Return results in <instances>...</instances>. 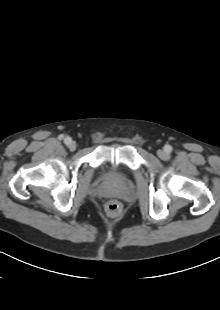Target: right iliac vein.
<instances>
[{
  "mask_svg": "<svg viewBox=\"0 0 220 310\" xmlns=\"http://www.w3.org/2000/svg\"><path fill=\"white\" fill-rule=\"evenodd\" d=\"M68 147L71 151H74L77 147V144L75 141H71L69 144H68Z\"/></svg>",
  "mask_w": 220,
  "mask_h": 310,
  "instance_id": "63e3f726",
  "label": "right iliac vein"
}]
</instances>
